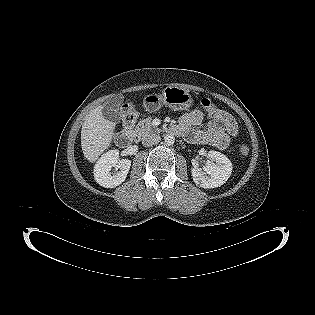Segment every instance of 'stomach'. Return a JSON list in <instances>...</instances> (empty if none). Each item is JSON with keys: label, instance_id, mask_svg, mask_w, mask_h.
<instances>
[{"label": "stomach", "instance_id": "stomach-1", "mask_svg": "<svg viewBox=\"0 0 315 315\" xmlns=\"http://www.w3.org/2000/svg\"><path fill=\"white\" fill-rule=\"evenodd\" d=\"M192 103L193 99L189 91L177 86H168L162 91V94L150 95L145 101L148 111H155L162 104L174 111L187 110ZM119 113L122 118L131 120L136 117L138 108L135 103L126 101L121 104Z\"/></svg>", "mask_w": 315, "mask_h": 315}]
</instances>
